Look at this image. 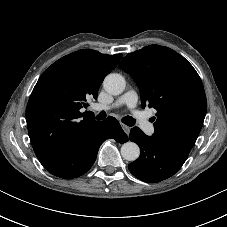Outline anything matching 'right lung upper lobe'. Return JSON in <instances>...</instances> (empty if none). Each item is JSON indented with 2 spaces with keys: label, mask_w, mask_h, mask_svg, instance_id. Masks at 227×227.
I'll return each mask as SVG.
<instances>
[{
  "label": "right lung upper lobe",
  "mask_w": 227,
  "mask_h": 227,
  "mask_svg": "<svg viewBox=\"0 0 227 227\" xmlns=\"http://www.w3.org/2000/svg\"><path fill=\"white\" fill-rule=\"evenodd\" d=\"M122 54L107 55L91 49L66 55L40 76L26 109L28 133L44 168L55 164L99 121L80 112L118 64Z\"/></svg>",
  "instance_id": "1"
}]
</instances>
